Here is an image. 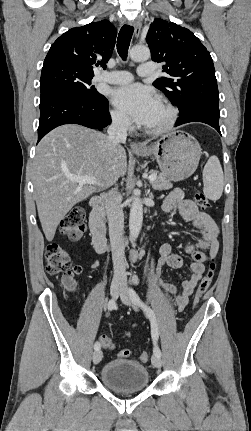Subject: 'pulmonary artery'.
<instances>
[{
	"mask_svg": "<svg viewBox=\"0 0 251 431\" xmlns=\"http://www.w3.org/2000/svg\"><path fill=\"white\" fill-rule=\"evenodd\" d=\"M154 70V65L151 62H147L144 64H141L138 67V75L141 77L148 76L152 74ZM133 79V76L128 71H110L105 72L101 75V80L110 83V84H126L131 82Z\"/></svg>",
	"mask_w": 251,
	"mask_h": 431,
	"instance_id": "e3ab8cb5",
	"label": "pulmonary artery"
}]
</instances>
